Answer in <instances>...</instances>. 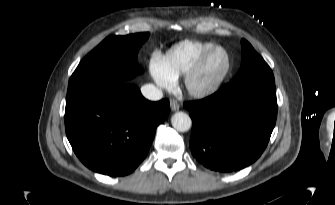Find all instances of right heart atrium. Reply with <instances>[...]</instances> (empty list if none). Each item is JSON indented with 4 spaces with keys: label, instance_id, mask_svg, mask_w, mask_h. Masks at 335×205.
<instances>
[{
    "label": "right heart atrium",
    "instance_id": "d8ad5b80",
    "mask_svg": "<svg viewBox=\"0 0 335 205\" xmlns=\"http://www.w3.org/2000/svg\"><path fill=\"white\" fill-rule=\"evenodd\" d=\"M150 74L155 83L162 89L171 88L175 83V78L167 71L164 58L155 53L149 65Z\"/></svg>",
    "mask_w": 335,
    "mask_h": 205
}]
</instances>
